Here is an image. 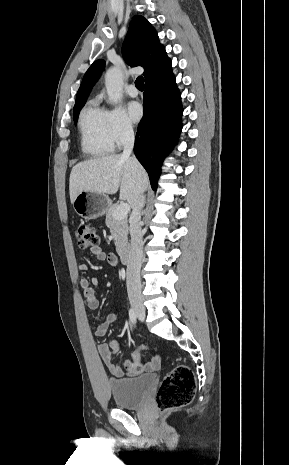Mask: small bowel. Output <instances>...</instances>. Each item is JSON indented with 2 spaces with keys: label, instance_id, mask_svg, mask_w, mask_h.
<instances>
[{
  "label": "small bowel",
  "instance_id": "1",
  "mask_svg": "<svg viewBox=\"0 0 289 465\" xmlns=\"http://www.w3.org/2000/svg\"><path fill=\"white\" fill-rule=\"evenodd\" d=\"M92 256L98 261H106L112 266H116L118 263L117 257L113 253L105 252L101 247H95L91 249ZM80 270L87 271L88 265L85 263H81L79 265ZM79 284L83 289L84 296L86 298V304L89 309L96 310L99 307V300L96 296L95 287L99 285V281L96 277H92L91 279L82 277L79 280ZM116 321V315L111 313L107 315L102 322L97 325L95 336L103 337L107 334L109 327ZM129 329L132 330V324H129ZM121 347L120 341H112L109 344L103 343L99 346V352L103 362L105 363L106 367L110 371V373L116 377L124 376V370L116 365L112 361V354L116 353ZM161 360L158 356L152 358L148 361L145 365V370L147 371H154L160 368ZM137 370H130L128 374L133 375L136 374Z\"/></svg>",
  "mask_w": 289,
  "mask_h": 465
}]
</instances>
